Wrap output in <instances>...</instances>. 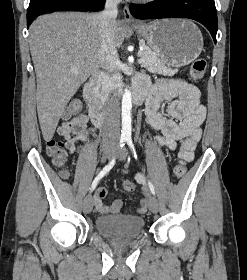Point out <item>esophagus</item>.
I'll use <instances>...</instances> for the list:
<instances>
[{
    "instance_id": "obj_1",
    "label": "esophagus",
    "mask_w": 247,
    "mask_h": 280,
    "mask_svg": "<svg viewBox=\"0 0 247 280\" xmlns=\"http://www.w3.org/2000/svg\"><path fill=\"white\" fill-rule=\"evenodd\" d=\"M123 13H124V20L126 23H128V24H137L138 23L137 20L132 16L128 5H126L124 7Z\"/></svg>"
}]
</instances>
